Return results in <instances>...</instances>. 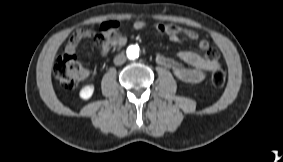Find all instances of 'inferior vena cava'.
Listing matches in <instances>:
<instances>
[{"instance_id":"inferior-vena-cava-1","label":"inferior vena cava","mask_w":283,"mask_h":162,"mask_svg":"<svg viewBox=\"0 0 283 162\" xmlns=\"http://www.w3.org/2000/svg\"><path fill=\"white\" fill-rule=\"evenodd\" d=\"M125 61H126V57L124 54H118L114 58L115 65H122L123 63H125Z\"/></svg>"}]
</instances>
